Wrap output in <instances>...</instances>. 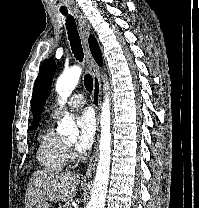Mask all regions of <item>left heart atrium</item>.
I'll use <instances>...</instances> for the list:
<instances>
[{
  "label": "left heart atrium",
  "instance_id": "1",
  "mask_svg": "<svg viewBox=\"0 0 199 208\" xmlns=\"http://www.w3.org/2000/svg\"><path fill=\"white\" fill-rule=\"evenodd\" d=\"M77 124L80 129V137L76 144L79 151L84 152L90 148L96 133V120L91 109H85L77 117Z\"/></svg>",
  "mask_w": 199,
  "mask_h": 208
}]
</instances>
